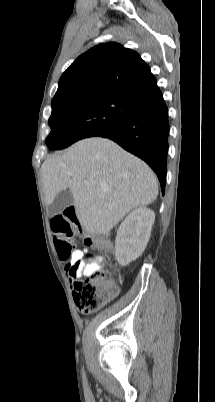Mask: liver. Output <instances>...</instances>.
I'll return each mask as SVG.
<instances>
[{
  "label": "liver",
  "mask_w": 215,
  "mask_h": 402,
  "mask_svg": "<svg viewBox=\"0 0 215 402\" xmlns=\"http://www.w3.org/2000/svg\"><path fill=\"white\" fill-rule=\"evenodd\" d=\"M46 203L69 189L76 216L89 235L107 234L132 209L158 195V181L142 160L105 138L76 142L41 166Z\"/></svg>",
  "instance_id": "6515ba94"
}]
</instances>
